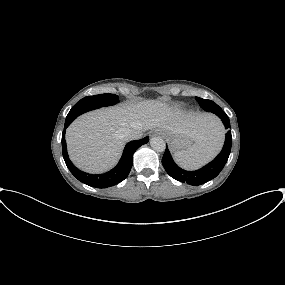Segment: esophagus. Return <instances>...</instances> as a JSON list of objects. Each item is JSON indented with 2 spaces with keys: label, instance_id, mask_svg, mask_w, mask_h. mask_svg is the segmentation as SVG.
Segmentation results:
<instances>
[{
  "label": "esophagus",
  "instance_id": "34e87169",
  "mask_svg": "<svg viewBox=\"0 0 285 285\" xmlns=\"http://www.w3.org/2000/svg\"><path fill=\"white\" fill-rule=\"evenodd\" d=\"M155 134H156V132H152L150 136L152 137V136H154Z\"/></svg>",
  "mask_w": 285,
  "mask_h": 285
}]
</instances>
